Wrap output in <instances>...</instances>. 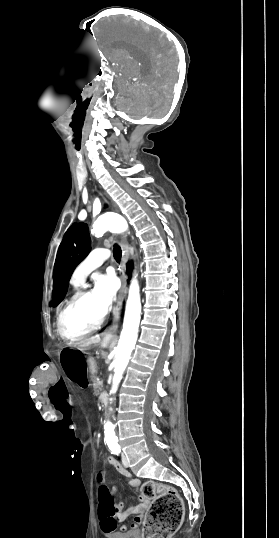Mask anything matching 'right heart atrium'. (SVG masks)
Returning <instances> with one entry per match:
<instances>
[{"label": "right heart atrium", "instance_id": "1", "mask_svg": "<svg viewBox=\"0 0 279 538\" xmlns=\"http://www.w3.org/2000/svg\"><path fill=\"white\" fill-rule=\"evenodd\" d=\"M83 219H84V218L81 217V220H83ZM111 232H112V233H116V230H115V229H112ZM56 237H57V235H56Z\"/></svg>", "mask_w": 279, "mask_h": 538}]
</instances>
